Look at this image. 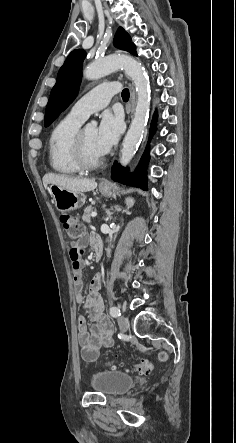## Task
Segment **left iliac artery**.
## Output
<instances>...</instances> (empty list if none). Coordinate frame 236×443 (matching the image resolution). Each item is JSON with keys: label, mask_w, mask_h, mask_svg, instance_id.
<instances>
[{"label": "left iliac artery", "mask_w": 236, "mask_h": 443, "mask_svg": "<svg viewBox=\"0 0 236 443\" xmlns=\"http://www.w3.org/2000/svg\"><path fill=\"white\" fill-rule=\"evenodd\" d=\"M110 315H111L112 317H114V318L119 317V316L121 315V313H120V309L117 308L116 306H112V307L110 308Z\"/></svg>", "instance_id": "1"}]
</instances>
